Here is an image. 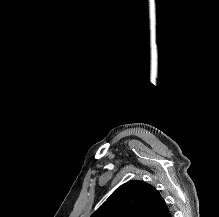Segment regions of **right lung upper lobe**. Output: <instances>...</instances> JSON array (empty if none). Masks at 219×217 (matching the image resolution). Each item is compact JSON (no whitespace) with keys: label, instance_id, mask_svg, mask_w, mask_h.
Returning a JSON list of instances; mask_svg holds the SVG:
<instances>
[{"label":"right lung upper lobe","instance_id":"right-lung-upper-lobe-1","mask_svg":"<svg viewBox=\"0 0 219 217\" xmlns=\"http://www.w3.org/2000/svg\"><path fill=\"white\" fill-rule=\"evenodd\" d=\"M91 217H171V213L152 185L132 180L118 187Z\"/></svg>","mask_w":219,"mask_h":217}]
</instances>
